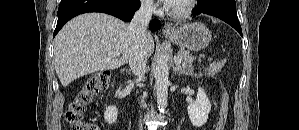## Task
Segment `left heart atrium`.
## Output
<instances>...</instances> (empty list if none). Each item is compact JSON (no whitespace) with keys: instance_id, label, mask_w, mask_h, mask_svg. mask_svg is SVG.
Segmentation results:
<instances>
[{"instance_id":"39dd6f15","label":"left heart atrium","mask_w":299,"mask_h":130,"mask_svg":"<svg viewBox=\"0 0 299 130\" xmlns=\"http://www.w3.org/2000/svg\"><path fill=\"white\" fill-rule=\"evenodd\" d=\"M168 6H173L177 4L179 1L178 0H165L164 1Z\"/></svg>"}]
</instances>
